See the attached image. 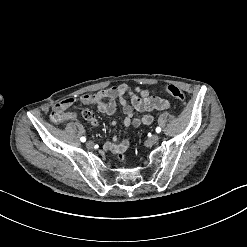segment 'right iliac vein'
Wrapping results in <instances>:
<instances>
[{
    "mask_svg": "<svg viewBox=\"0 0 247 247\" xmlns=\"http://www.w3.org/2000/svg\"><path fill=\"white\" fill-rule=\"evenodd\" d=\"M86 146H87V148H89V149H93L94 143H93L92 141H87V142H86Z\"/></svg>",
    "mask_w": 247,
    "mask_h": 247,
    "instance_id": "1",
    "label": "right iliac vein"
}]
</instances>
